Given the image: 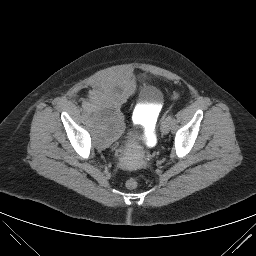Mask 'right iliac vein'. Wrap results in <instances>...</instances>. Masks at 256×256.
I'll list each match as a JSON object with an SVG mask.
<instances>
[{"mask_svg": "<svg viewBox=\"0 0 256 256\" xmlns=\"http://www.w3.org/2000/svg\"><path fill=\"white\" fill-rule=\"evenodd\" d=\"M85 115H86L87 117H90V116L92 115L91 110H90V109H87L86 112H85Z\"/></svg>", "mask_w": 256, "mask_h": 256, "instance_id": "1", "label": "right iliac vein"}]
</instances>
